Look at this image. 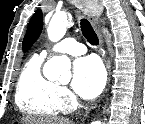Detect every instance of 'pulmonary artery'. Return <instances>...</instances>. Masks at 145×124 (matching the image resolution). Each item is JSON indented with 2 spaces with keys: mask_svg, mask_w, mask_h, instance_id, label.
Wrapping results in <instances>:
<instances>
[{
  "mask_svg": "<svg viewBox=\"0 0 145 124\" xmlns=\"http://www.w3.org/2000/svg\"><path fill=\"white\" fill-rule=\"evenodd\" d=\"M53 52H60L69 54L72 56L82 55L86 52V48L83 44L77 42L74 39L67 38L59 42L58 44L54 45L48 50H43L41 52V56L47 57Z\"/></svg>",
  "mask_w": 145,
  "mask_h": 124,
  "instance_id": "e3ab8cb5",
  "label": "pulmonary artery"
}]
</instances>
